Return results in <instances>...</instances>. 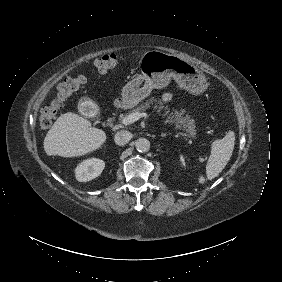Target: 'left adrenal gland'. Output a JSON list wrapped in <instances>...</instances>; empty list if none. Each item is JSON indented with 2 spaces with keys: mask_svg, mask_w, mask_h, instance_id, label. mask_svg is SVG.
<instances>
[{
  "mask_svg": "<svg viewBox=\"0 0 282 282\" xmlns=\"http://www.w3.org/2000/svg\"><path fill=\"white\" fill-rule=\"evenodd\" d=\"M165 135H166L165 133L162 134V136H165Z\"/></svg>",
  "mask_w": 282,
  "mask_h": 282,
  "instance_id": "obj_1",
  "label": "left adrenal gland"
}]
</instances>
